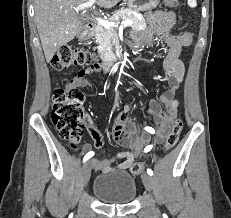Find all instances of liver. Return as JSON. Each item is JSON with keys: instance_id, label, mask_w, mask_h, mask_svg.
Returning <instances> with one entry per match:
<instances>
[{"instance_id": "liver-1", "label": "liver", "mask_w": 231, "mask_h": 218, "mask_svg": "<svg viewBox=\"0 0 231 218\" xmlns=\"http://www.w3.org/2000/svg\"><path fill=\"white\" fill-rule=\"evenodd\" d=\"M89 0H34L35 23L46 60L74 39L82 28L75 7ZM120 0H97L100 7L109 9Z\"/></svg>"}]
</instances>
